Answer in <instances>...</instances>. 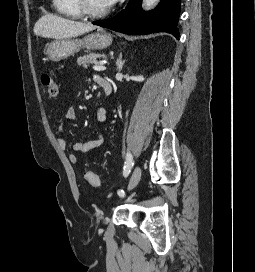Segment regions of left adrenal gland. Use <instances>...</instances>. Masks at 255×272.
<instances>
[{
	"instance_id": "left-adrenal-gland-1",
	"label": "left adrenal gland",
	"mask_w": 255,
	"mask_h": 272,
	"mask_svg": "<svg viewBox=\"0 0 255 272\" xmlns=\"http://www.w3.org/2000/svg\"><path fill=\"white\" fill-rule=\"evenodd\" d=\"M124 63H125V60H122V53H120L119 57L117 58V61H116L118 72H120L122 70Z\"/></svg>"
}]
</instances>
